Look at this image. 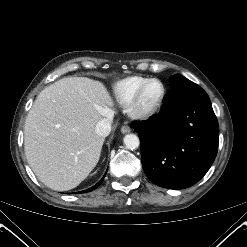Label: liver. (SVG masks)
<instances>
[{
  "mask_svg": "<svg viewBox=\"0 0 247 247\" xmlns=\"http://www.w3.org/2000/svg\"><path fill=\"white\" fill-rule=\"evenodd\" d=\"M105 86L86 77H66L43 89L29 111L24 148L30 167L47 187H77L99 161L104 138L96 124L113 115Z\"/></svg>",
  "mask_w": 247,
  "mask_h": 247,
  "instance_id": "6515ba94",
  "label": "liver"
}]
</instances>
